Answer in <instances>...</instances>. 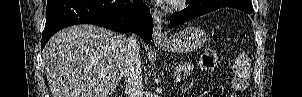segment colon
<instances>
[{
	"mask_svg": "<svg viewBox=\"0 0 302 97\" xmlns=\"http://www.w3.org/2000/svg\"><path fill=\"white\" fill-rule=\"evenodd\" d=\"M217 54L214 50H206L200 58V68L201 70L207 72L216 66ZM232 88L235 92H243L246 89V82L241 78H234L232 80Z\"/></svg>",
	"mask_w": 302,
	"mask_h": 97,
	"instance_id": "colon-1",
	"label": "colon"
}]
</instances>
